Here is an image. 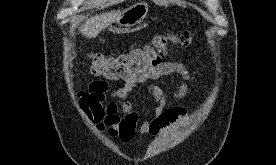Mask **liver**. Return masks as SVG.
Wrapping results in <instances>:
<instances>
[{"instance_id": "1", "label": "liver", "mask_w": 276, "mask_h": 165, "mask_svg": "<svg viewBox=\"0 0 276 165\" xmlns=\"http://www.w3.org/2000/svg\"><path fill=\"white\" fill-rule=\"evenodd\" d=\"M126 11V10H125ZM111 11L99 15L91 16L81 25L79 32L87 38H95L101 31L106 29L125 12Z\"/></svg>"}]
</instances>
